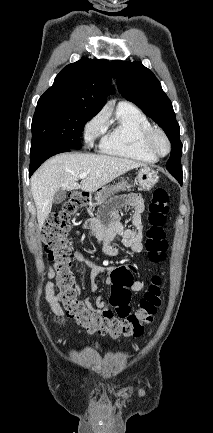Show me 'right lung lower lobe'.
<instances>
[{"label":"right lung lower lobe","instance_id":"obj_1","mask_svg":"<svg viewBox=\"0 0 213 433\" xmlns=\"http://www.w3.org/2000/svg\"><path fill=\"white\" fill-rule=\"evenodd\" d=\"M70 150L72 149L58 144H43L36 148H31L29 177L47 158L58 153L69 152Z\"/></svg>","mask_w":213,"mask_h":433}]
</instances>
